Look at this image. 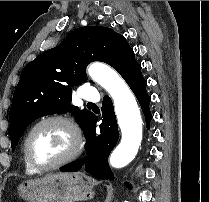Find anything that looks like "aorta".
Here are the masks:
<instances>
[{
    "instance_id": "762f6f07",
    "label": "aorta",
    "mask_w": 209,
    "mask_h": 202,
    "mask_svg": "<svg viewBox=\"0 0 209 202\" xmlns=\"http://www.w3.org/2000/svg\"><path fill=\"white\" fill-rule=\"evenodd\" d=\"M89 76L112 97L121 141L110 156V164L121 168L137 155L142 141V118L137 101L119 74L107 65L95 63L88 68Z\"/></svg>"
}]
</instances>
